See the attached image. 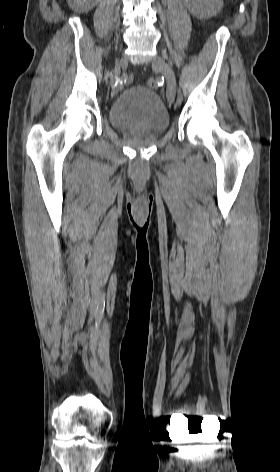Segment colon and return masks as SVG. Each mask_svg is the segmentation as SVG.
I'll return each instance as SVG.
<instances>
[{
	"label": "colon",
	"mask_w": 280,
	"mask_h": 472,
	"mask_svg": "<svg viewBox=\"0 0 280 472\" xmlns=\"http://www.w3.org/2000/svg\"><path fill=\"white\" fill-rule=\"evenodd\" d=\"M147 83L150 88L156 89L159 87V82L155 78H149Z\"/></svg>",
	"instance_id": "1"
}]
</instances>
